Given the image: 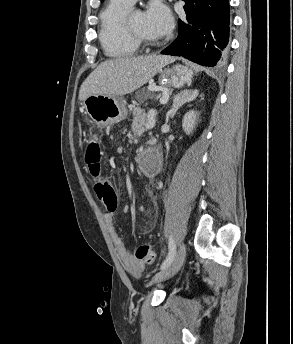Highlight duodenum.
Wrapping results in <instances>:
<instances>
[{
  "instance_id": "duodenum-1",
  "label": "duodenum",
  "mask_w": 293,
  "mask_h": 344,
  "mask_svg": "<svg viewBox=\"0 0 293 344\" xmlns=\"http://www.w3.org/2000/svg\"><path fill=\"white\" fill-rule=\"evenodd\" d=\"M157 154H158V159H157L156 165H157V168L160 169L162 167L163 160H162V156H161L159 150H158ZM145 158L146 157H145L144 153H138L136 155V163H137V165L138 166H143Z\"/></svg>"
}]
</instances>
